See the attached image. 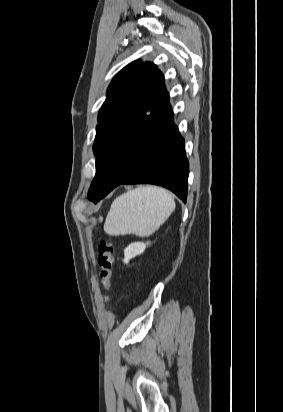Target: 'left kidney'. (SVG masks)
I'll return each mask as SVG.
<instances>
[{"label":"left kidney","mask_w":283,"mask_h":412,"mask_svg":"<svg viewBox=\"0 0 283 412\" xmlns=\"http://www.w3.org/2000/svg\"><path fill=\"white\" fill-rule=\"evenodd\" d=\"M147 245H148V242H147V243H143V242H134V243H131V244L124 250V256H125V258H124L123 262H124L125 264H128L130 259L134 258V257L137 256V255L142 254V253L145 251Z\"/></svg>","instance_id":"1"}]
</instances>
